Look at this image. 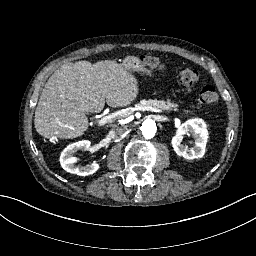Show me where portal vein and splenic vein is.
<instances>
[{
  "mask_svg": "<svg viewBox=\"0 0 256 256\" xmlns=\"http://www.w3.org/2000/svg\"><path fill=\"white\" fill-rule=\"evenodd\" d=\"M140 109L148 110V111H151V112H156L157 111L156 107L149 106V105H142V106L137 105V106L132 107L133 111H137V110H140ZM160 112H163V111L160 110ZM130 114H132V111H130L129 108H126L125 110L113 112L110 115L105 116V117L97 120L96 123H97V126L101 127V126H103L105 124H108V123H111L112 121H115L117 119L125 118V117L129 116Z\"/></svg>",
  "mask_w": 256,
  "mask_h": 256,
  "instance_id": "portal-vein-and-splenic-vein-1",
  "label": "portal vein and splenic vein"
}]
</instances>
